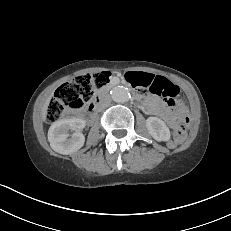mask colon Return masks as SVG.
<instances>
[{
    "label": "colon",
    "instance_id": "colon-1",
    "mask_svg": "<svg viewBox=\"0 0 231 231\" xmlns=\"http://www.w3.org/2000/svg\"><path fill=\"white\" fill-rule=\"evenodd\" d=\"M110 72L102 71L75 77L73 80L62 84L54 98L50 101L46 110V120L55 122L62 117L67 110H79L88 103L96 91L104 88L110 80ZM135 80L140 76H132ZM133 85H136L135 83ZM165 95L173 99L177 95L175 86H169ZM187 119L181 117L174 130V141L171 146L181 142L186 136Z\"/></svg>",
    "mask_w": 231,
    "mask_h": 231
}]
</instances>
